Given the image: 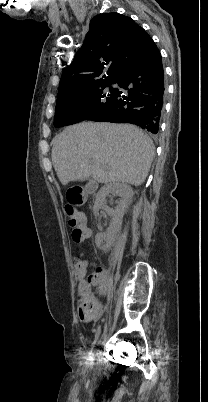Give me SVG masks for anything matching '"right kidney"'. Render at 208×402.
Wrapping results in <instances>:
<instances>
[{
    "mask_svg": "<svg viewBox=\"0 0 208 402\" xmlns=\"http://www.w3.org/2000/svg\"><path fill=\"white\" fill-rule=\"evenodd\" d=\"M108 194H115V196H119L120 198L118 206H116L115 210L105 206ZM132 196V188H130L128 184H125V182H109V184H105V186L99 190L98 194H96V200L93 208L94 216H98L99 210H106L108 216H113L115 220V224H113L111 228H108V234H96L95 244L97 248L106 250V248H109L110 244H112L113 240H115L120 230L122 218L126 212V208H128L130 202H132ZM103 240H106V246H102Z\"/></svg>",
    "mask_w": 208,
    "mask_h": 402,
    "instance_id": "ca27d5eb",
    "label": "right kidney"
}]
</instances>
